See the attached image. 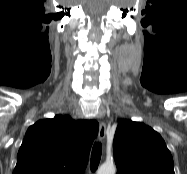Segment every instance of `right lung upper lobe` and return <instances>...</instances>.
<instances>
[{"label": "right lung upper lobe", "mask_w": 187, "mask_h": 174, "mask_svg": "<svg viewBox=\"0 0 187 174\" xmlns=\"http://www.w3.org/2000/svg\"><path fill=\"white\" fill-rule=\"evenodd\" d=\"M98 123L57 115L30 126L13 174H83Z\"/></svg>", "instance_id": "1"}]
</instances>
